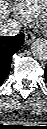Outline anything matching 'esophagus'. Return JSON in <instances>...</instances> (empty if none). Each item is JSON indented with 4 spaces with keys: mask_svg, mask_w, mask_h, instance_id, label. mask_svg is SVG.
<instances>
[{
    "mask_svg": "<svg viewBox=\"0 0 47 129\" xmlns=\"http://www.w3.org/2000/svg\"><path fill=\"white\" fill-rule=\"evenodd\" d=\"M35 36L31 31L25 33V43L30 44L34 40Z\"/></svg>",
    "mask_w": 47,
    "mask_h": 129,
    "instance_id": "1",
    "label": "esophagus"
}]
</instances>
